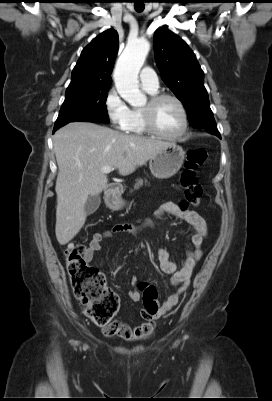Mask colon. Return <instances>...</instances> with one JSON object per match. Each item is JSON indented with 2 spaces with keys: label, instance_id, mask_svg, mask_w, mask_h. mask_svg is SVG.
<instances>
[{
  "label": "colon",
  "instance_id": "colon-1",
  "mask_svg": "<svg viewBox=\"0 0 272 401\" xmlns=\"http://www.w3.org/2000/svg\"><path fill=\"white\" fill-rule=\"evenodd\" d=\"M207 159V150L198 147L188 151L180 184L184 189L186 201L194 206L200 203L202 187L196 175L197 169ZM67 271L75 298L85 306L86 315L97 326L104 328V333L111 336L112 318L118 310L119 298L105 284V278L85 259L86 248L78 242H70L65 248ZM143 293V312L152 315L158 310L157 291L152 285L139 286Z\"/></svg>",
  "mask_w": 272,
  "mask_h": 401
}]
</instances>
